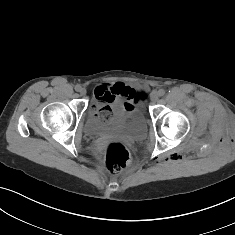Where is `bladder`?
I'll return each mask as SVG.
<instances>
[{"label":"bladder","instance_id":"obj_1","mask_svg":"<svg viewBox=\"0 0 235 235\" xmlns=\"http://www.w3.org/2000/svg\"><path fill=\"white\" fill-rule=\"evenodd\" d=\"M146 118L138 105L126 108L118 105L108 119L91 112L86 120L85 131L92 136L114 133L138 140L146 134Z\"/></svg>","mask_w":235,"mask_h":235}]
</instances>
